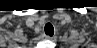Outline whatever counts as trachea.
<instances>
[{"label": "trachea", "instance_id": "1", "mask_svg": "<svg viewBox=\"0 0 97 48\" xmlns=\"http://www.w3.org/2000/svg\"><path fill=\"white\" fill-rule=\"evenodd\" d=\"M45 34L49 36H53L54 34V27L52 24L48 23L45 25Z\"/></svg>", "mask_w": 97, "mask_h": 48}]
</instances>
